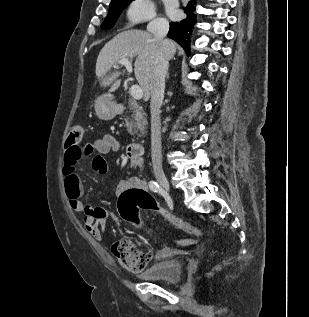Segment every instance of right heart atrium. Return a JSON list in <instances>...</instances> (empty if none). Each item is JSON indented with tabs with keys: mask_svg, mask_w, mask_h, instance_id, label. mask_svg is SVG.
<instances>
[{
	"mask_svg": "<svg viewBox=\"0 0 309 317\" xmlns=\"http://www.w3.org/2000/svg\"><path fill=\"white\" fill-rule=\"evenodd\" d=\"M126 16L131 23L154 21L156 19L154 3L152 0H132L127 7Z\"/></svg>",
	"mask_w": 309,
	"mask_h": 317,
	"instance_id": "d8ad5b80",
	"label": "right heart atrium"
}]
</instances>
